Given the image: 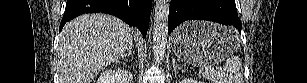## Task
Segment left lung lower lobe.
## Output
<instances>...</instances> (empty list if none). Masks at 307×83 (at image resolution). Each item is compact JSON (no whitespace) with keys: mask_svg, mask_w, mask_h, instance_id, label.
Listing matches in <instances>:
<instances>
[{"mask_svg":"<svg viewBox=\"0 0 307 83\" xmlns=\"http://www.w3.org/2000/svg\"><path fill=\"white\" fill-rule=\"evenodd\" d=\"M186 20H207L231 24L241 32L235 0H171L168 34Z\"/></svg>","mask_w":307,"mask_h":83,"instance_id":"0a47b994","label":"left lung lower lobe"}]
</instances>
